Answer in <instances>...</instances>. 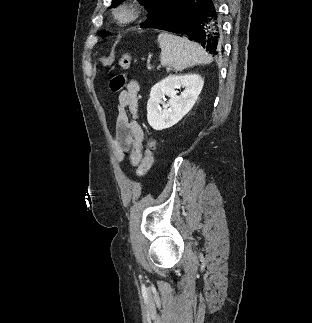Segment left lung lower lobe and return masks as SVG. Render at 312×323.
<instances>
[{
  "instance_id": "left-lung-lower-lobe-1",
  "label": "left lung lower lobe",
  "mask_w": 312,
  "mask_h": 323,
  "mask_svg": "<svg viewBox=\"0 0 312 323\" xmlns=\"http://www.w3.org/2000/svg\"><path fill=\"white\" fill-rule=\"evenodd\" d=\"M169 14L155 28L186 36L214 57L222 49V25L218 0H175Z\"/></svg>"
}]
</instances>
